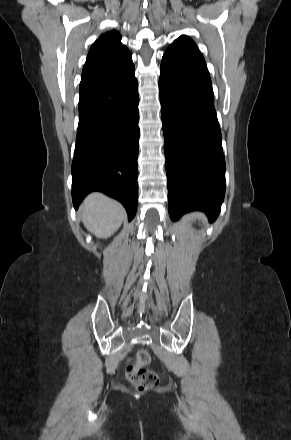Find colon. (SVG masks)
Returning <instances> with one entry per match:
<instances>
[{
	"label": "colon",
	"instance_id": "5ec220e1",
	"mask_svg": "<svg viewBox=\"0 0 291 440\" xmlns=\"http://www.w3.org/2000/svg\"><path fill=\"white\" fill-rule=\"evenodd\" d=\"M150 361V354L147 351L140 350L136 354L134 363L127 368V376L138 391L148 390L158 383L157 373L146 369Z\"/></svg>",
	"mask_w": 291,
	"mask_h": 440
}]
</instances>
